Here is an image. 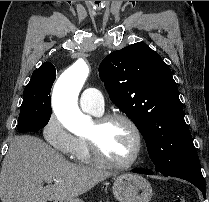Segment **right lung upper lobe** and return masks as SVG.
<instances>
[{"instance_id":"right-lung-upper-lobe-1","label":"right lung upper lobe","mask_w":209,"mask_h":202,"mask_svg":"<svg viewBox=\"0 0 209 202\" xmlns=\"http://www.w3.org/2000/svg\"><path fill=\"white\" fill-rule=\"evenodd\" d=\"M35 77H56V70L52 63L44 62L37 70L32 73L31 78Z\"/></svg>"}]
</instances>
